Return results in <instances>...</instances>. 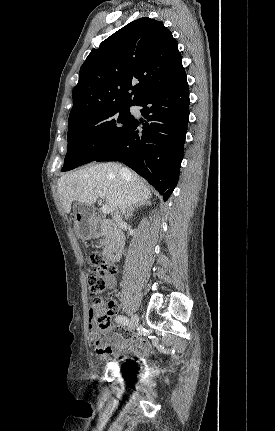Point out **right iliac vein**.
<instances>
[{"label": "right iliac vein", "instance_id": "obj_1", "mask_svg": "<svg viewBox=\"0 0 275 431\" xmlns=\"http://www.w3.org/2000/svg\"><path fill=\"white\" fill-rule=\"evenodd\" d=\"M138 324H139L138 315L132 316L131 321H130V325H129V329H131V330L135 329L138 326Z\"/></svg>", "mask_w": 275, "mask_h": 431}]
</instances>
